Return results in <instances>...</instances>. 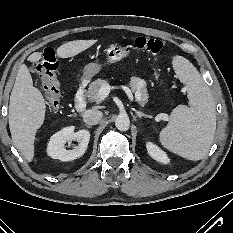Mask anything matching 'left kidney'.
I'll use <instances>...</instances> for the list:
<instances>
[{"instance_id": "5707ae66", "label": "left kidney", "mask_w": 233, "mask_h": 233, "mask_svg": "<svg viewBox=\"0 0 233 233\" xmlns=\"http://www.w3.org/2000/svg\"><path fill=\"white\" fill-rule=\"evenodd\" d=\"M146 148L149 155L156 161L161 162L163 164L169 163V158L167 154L162 151L158 146L153 144L152 142L146 143Z\"/></svg>"}]
</instances>
